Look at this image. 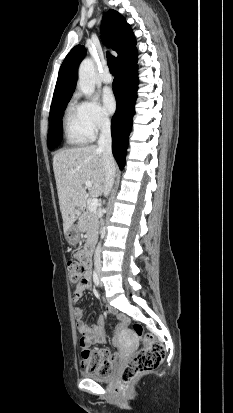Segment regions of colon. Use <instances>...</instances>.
<instances>
[{
    "label": "colon",
    "instance_id": "5ec220e1",
    "mask_svg": "<svg viewBox=\"0 0 233 413\" xmlns=\"http://www.w3.org/2000/svg\"><path fill=\"white\" fill-rule=\"evenodd\" d=\"M68 275L72 284H79L88 274L86 259H72L68 262ZM134 332L142 337L143 346L132 356L121 373V379L129 382L135 377L156 369L164 358V347L150 333H145L141 324L133 326ZM82 358L86 363L89 371L98 374H108L111 372V355L106 351L93 352L85 349L82 352Z\"/></svg>",
    "mask_w": 233,
    "mask_h": 413
}]
</instances>
